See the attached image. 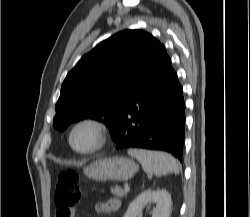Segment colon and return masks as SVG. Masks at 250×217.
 I'll return each instance as SVG.
<instances>
[{
    "label": "colon",
    "mask_w": 250,
    "mask_h": 217,
    "mask_svg": "<svg viewBox=\"0 0 250 217\" xmlns=\"http://www.w3.org/2000/svg\"><path fill=\"white\" fill-rule=\"evenodd\" d=\"M80 195L78 174L71 170L60 173L54 191L57 217H68L77 206Z\"/></svg>",
    "instance_id": "1"
}]
</instances>
